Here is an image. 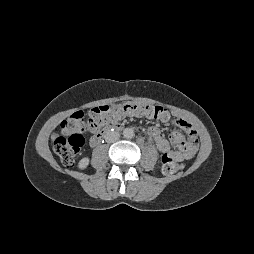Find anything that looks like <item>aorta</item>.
<instances>
[{
	"label": "aorta",
	"instance_id": "762f6f07",
	"mask_svg": "<svg viewBox=\"0 0 254 254\" xmlns=\"http://www.w3.org/2000/svg\"><path fill=\"white\" fill-rule=\"evenodd\" d=\"M134 130L132 128H125L123 130V136L127 139H131L134 137Z\"/></svg>",
	"mask_w": 254,
	"mask_h": 254
}]
</instances>
